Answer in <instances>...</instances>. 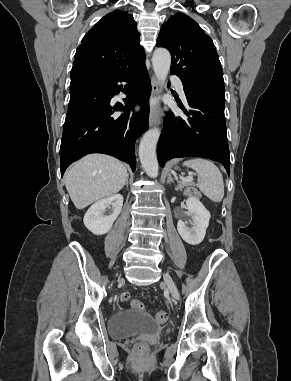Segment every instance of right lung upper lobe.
Instances as JSON below:
<instances>
[{
  "label": "right lung upper lobe",
  "instance_id": "right-lung-upper-lobe-1",
  "mask_svg": "<svg viewBox=\"0 0 291 381\" xmlns=\"http://www.w3.org/2000/svg\"><path fill=\"white\" fill-rule=\"evenodd\" d=\"M139 41L132 15L121 10L108 13L82 39L71 72L119 73L145 60Z\"/></svg>",
  "mask_w": 291,
  "mask_h": 381
}]
</instances>
